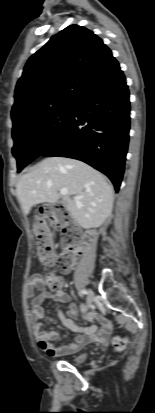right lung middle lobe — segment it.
I'll use <instances>...</instances> for the list:
<instances>
[{
    "label": "right lung middle lobe",
    "mask_w": 155,
    "mask_h": 413,
    "mask_svg": "<svg viewBox=\"0 0 155 413\" xmlns=\"http://www.w3.org/2000/svg\"><path fill=\"white\" fill-rule=\"evenodd\" d=\"M74 111V103L53 108L12 130L17 172L40 156L64 131Z\"/></svg>",
    "instance_id": "right-lung-middle-lobe-1"
}]
</instances>
